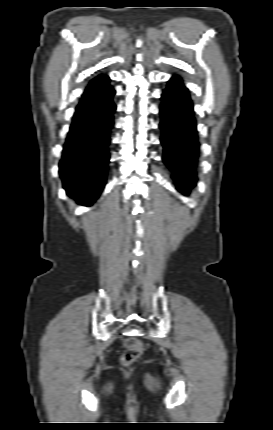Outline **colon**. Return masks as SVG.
<instances>
[{
    "label": "colon",
    "mask_w": 273,
    "mask_h": 430,
    "mask_svg": "<svg viewBox=\"0 0 273 430\" xmlns=\"http://www.w3.org/2000/svg\"><path fill=\"white\" fill-rule=\"evenodd\" d=\"M143 342L135 337H129L125 341V350L121 356L124 365H130L135 362L143 353Z\"/></svg>",
    "instance_id": "1"
}]
</instances>
